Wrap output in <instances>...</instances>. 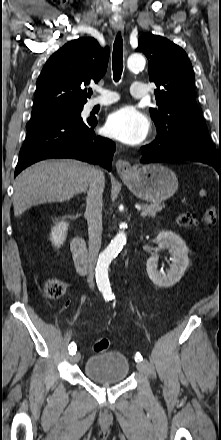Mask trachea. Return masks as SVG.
Segmentation results:
<instances>
[{
  "instance_id": "obj_1",
  "label": "trachea",
  "mask_w": 221,
  "mask_h": 440,
  "mask_svg": "<svg viewBox=\"0 0 221 440\" xmlns=\"http://www.w3.org/2000/svg\"><path fill=\"white\" fill-rule=\"evenodd\" d=\"M112 69L113 79L115 82H118L123 71V40L120 33L117 34L113 45Z\"/></svg>"
}]
</instances>
